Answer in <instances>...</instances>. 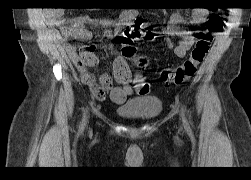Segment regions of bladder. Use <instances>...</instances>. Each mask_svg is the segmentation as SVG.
Segmentation results:
<instances>
[{"label":"bladder","mask_w":251,"mask_h":180,"mask_svg":"<svg viewBox=\"0 0 251 180\" xmlns=\"http://www.w3.org/2000/svg\"><path fill=\"white\" fill-rule=\"evenodd\" d=\"M162 101L157 96H148L127 101L118 106L116 113L127 120L147 121L157 117L162 111Z\"/></svg>","instance_id":"31cf9c89"}]
</instances>
